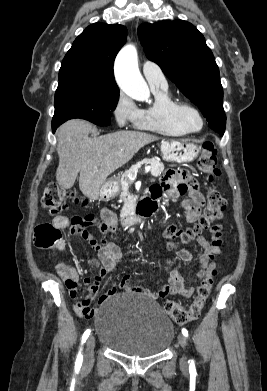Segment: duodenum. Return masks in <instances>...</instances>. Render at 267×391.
Segmentation results:
<instances>
[{"instance_id": "obj_1", "label": "duodenum", "mask_w": 267, "mask_h": 391, "mask_svg": "<svg viewBox=\"0 0 267 391\" xmlns=\"http://www.w3.org/2000/svg\"><path fill=\"white\" fill-rule=\"evenodd\" d=\"M154 209V204L151 202H145L131 211H128L123 215L121 223L125 228H137L139 227L144 219V216L150 214Z\"/></svg>"}]
</instances>
